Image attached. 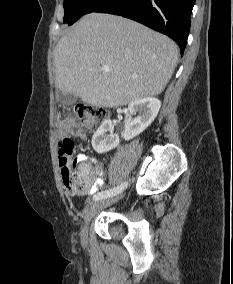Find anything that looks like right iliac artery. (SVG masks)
<instances>
[{"label":"right iliac artery","instance_id":"right-iliac-artery-1","mask_svg":"<svg viewBox=\"0 0 233 284\" xmlns=\"http://www.w3.org/2000/svg\"><path fill=\"white\" fill-rule=\"evenodd\" d=\"M128 183L124 182L121 183L119 186L109 189V190H105V191H101L97 194H95L93 196V200H99V199H103V198H107V197H111L114 196L116 194L121 193L126 187H127Z\"/></svg>","mask_w":233,"mask_h":284}]
</instances>
